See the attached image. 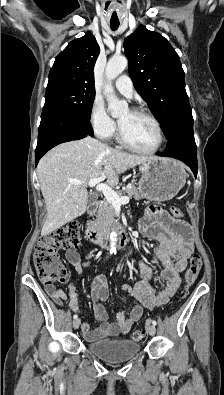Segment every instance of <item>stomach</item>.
I'll list each match as a JSON object with an SVG mask.
<instances>
[{"label":"stomach","mask_w":224,"mask_h":395,"mask_svg":"<svg viewBox=\"0 0 224 395\" xmlns=\"http://www.w3.org/2000/svg\"><path fill=\"white\" fill-rule=\"evenodd\" d=\"M139 193L151 201H167L177 195L186 182L184 167L173 159L154 157L139 165Z\"/></svg>","instance_id":"1"}]
</instances>
